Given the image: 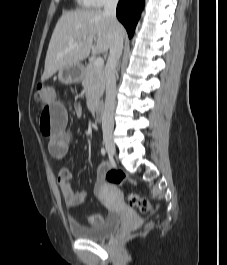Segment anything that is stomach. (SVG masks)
<instances>
[{
    "instance_id": "1",
    "label": "stomach",
    "mask_w": 227,
    "mask_h": 265,
    "mask_svg": "<svg viewBox=\"0 0 227 265\" xmlns=\"http://www.w3.org/2000/svg\"><path fill=\"white\" fill-rule=\"evenodd\" d=\"M84 69L81 64L64 67L58 71V80L63 84L78 83L83 78Z\"/></svg>"
}]
</instances>
